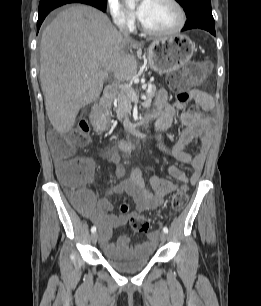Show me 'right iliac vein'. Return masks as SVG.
<instances>
[{
    "mask_svg": "<svg viewBox=\"0 0 261 306\" xmlns=\"http://www.w3.org/2000/svg\"><path fill=\"white\" fill-rule=\"evenodd\" d=\"M98 240V233L97 232H94L91 234V241L92 243H96Z\"/></svg>",
    "mask_w": 261,
    "mask_h": 306,
    "instance_id": "63e3f726",
    "label": "right iliac vein"
}]
</instances>
